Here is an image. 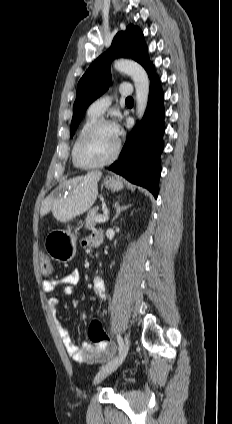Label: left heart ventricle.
Here are the masks:
<instances>
[{
	"label": "left heart ventricle",
	"instance_id": "b2bd125f",
	"mask_svg": "<svg viewBox=\"0 0 232 424\" xmlns=\"http://www.w3.org/2000/svg\"><path fill=\"white\" fill-rule=\"evenodd\" d=\"M116 141L117 136L112 126H103L84 143L81 156L89 163L104 160L113 153Z\"/></svg>",
	"mask_w": 232,
	"mask_h": 424
}]
</instances>
